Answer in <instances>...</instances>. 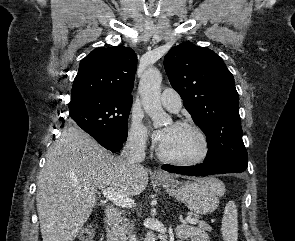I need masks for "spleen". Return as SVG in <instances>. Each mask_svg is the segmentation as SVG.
<instances>
[{
    "instance_id": "1",
    "label": "spleen",
    "mask_w": 295,
    "mask_h": 241,
    "mask_svg": "<svg viewBox=\"0 0 295 241\" xmlns=\"http://www.w3.org/2000/svg\"><path fill=\"white\" fill-rule=\"evenodd\" d=\"M221 230L224 241H237L238 212L234 201H229L225 206Z\"/></svg>"
}]
</instances>
